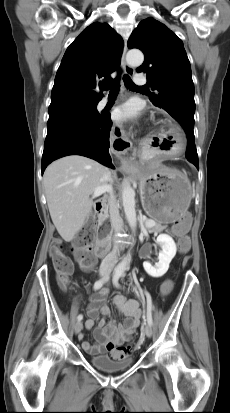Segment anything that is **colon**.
Listing matches in <instances>:
<instances>
[{"instance_id": "colon-1", "label": "colon", "mask_w": 230, "mask_h": 413, "mask_svg": "<svg viewBox=\"0 0 230 413\" xmlns=\"http://www.w3.org/2000/svg\"><path fill=\"white\" fill-rule=\"evenodd\" d=\"M190 224V217L186 214L182 215L174 224V228L180 231L178 244V256L184 257L185 252L192 246V241L188 235H185ZM95 239L94 225L88 224L82 229L79 235L74 241V249L76 251V257L80 263L84 266H91L94 263V257L90 252V247L92 246ZM50 257L54 266V269L59 277L60 283L68 288L70 286L69 277L73 271L72 262L64 254L61 246L57 243L53 244L50 248ZM161 292L166 295L173 290L174 283L172 279L167 278L161 283ZM132 346L127 345L124 348L125 352H131Z\"/></svg>"}]
</instances>
